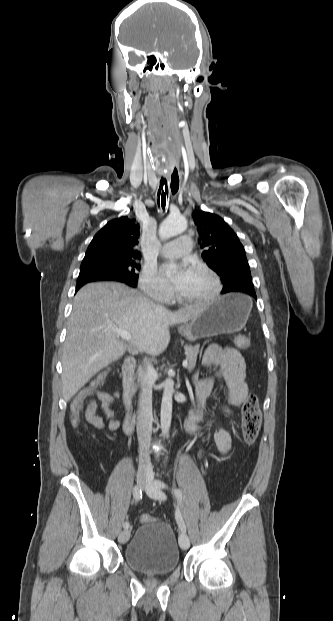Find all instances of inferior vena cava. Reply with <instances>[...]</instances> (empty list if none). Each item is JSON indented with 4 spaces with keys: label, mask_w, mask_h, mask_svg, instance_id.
I'll list each match as a JSON object with an SVG mask.
<instances>
[{
    "label": "inferior vena cava",
    "mask_w": 333,
    "mask_h": 621,
    "mask_svg": "<svg viewBox=\"0 0 333 621\" xmlns=\"http://www.w3.org/2000/svg\"><path fill=\"white\" fill-rule=\"evenodd\" d=\"M163 308V307H161ZM146 371H140L142 376V392L138 403L137 438L139 443V463L150 464L149 444L152 434V388L151 375L154 368L149 362H144Z\"/></svg>",
    "instance_id": "602c4592"
}]
</instances>
